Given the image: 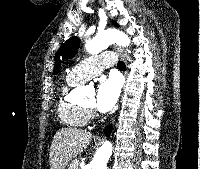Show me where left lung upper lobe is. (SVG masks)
<instances>
[{"label": "left lung upper lobe", "mask_w": 200, "mask_h": 169, "mask_svg": "<svg viewBox=\"0 0 200 169\" xmlns=\"http://www.w3.org/2000/svg\"><path fill=\"white\" fill-rule=\"evenodd\" d=\"M114 25L118 26L116 22H114ZM79 43L80 41L77 37H72L68 39L64 44H62V46L58 50V53L55 56V67L53 70V74H57V72L60 70V56L64 58H72L78 51Z\"/></svg>", "instance_id": "5c2ea615"}]
</instances>
